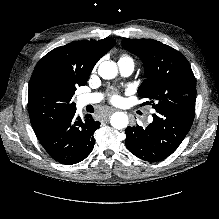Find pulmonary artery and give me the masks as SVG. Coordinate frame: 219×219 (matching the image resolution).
<instances>
[{
    "label": "pulmonary artery",
    "instance_id": "1",
    "mask_svg": "<svg viewBox=\"0 0 219 219\" xmlns=\"http://www.w3.org/2000/svg\"><path fill=\"white\" fill-rule=\"evenodd\" d=\"M118 66H119L121 74L124 76H129L134 71L133 60L118 61ZM101 97L102 95L99 93L84 94L79 98L80 106L84 107L86 105L96 104L101 100Z\"/></svg>",
    "mask_w": 219,
    "mask_h": 219
}]
</instances>
